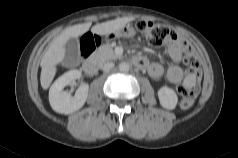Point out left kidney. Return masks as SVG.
Returning <instances> with one entry per match:
<instances>
[{"mask_svg":"<svg viewBox=\"0 0 238 158\" xmlns=\"http://www.w3.org/2000/svg\"><path fill=\"white\" fill-rule=\"evenodd\" d=\"M158 98L163 108L168 110L175 109L178 103V97L175 91L167 86H163L158 90Z\"/></svg>","mask_w":238,"mask_h":158,"instance_id":"obj_1","label":"left kidney"}]
</instances>
